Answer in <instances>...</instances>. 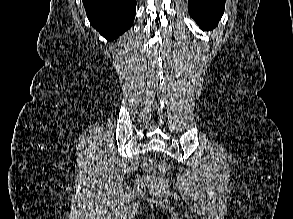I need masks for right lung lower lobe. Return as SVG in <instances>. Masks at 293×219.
I'll use <instances>...</instances> for the list:
<instances>
[{
	"label": "right lung lower lobe",
	"instance_id": "right-lung-lower-lobe-1",
	"mask_svg": "<svg viewBox=\"0 0 293 219\" xmlns=\"http://www.w3.org/2000/svg\"><path fill=\"white\" fill-rule=\"evenodd\" d=\"M91 25L108 40L128 30L134 21L136 0H82Z\"/></svg>",
	"mask_w": 293,
	"mask_h": 219
}]
</instances>
